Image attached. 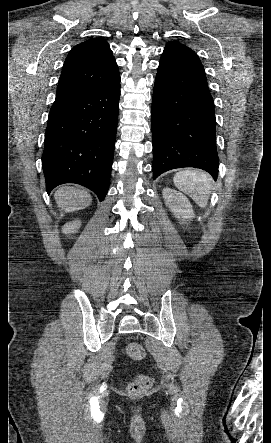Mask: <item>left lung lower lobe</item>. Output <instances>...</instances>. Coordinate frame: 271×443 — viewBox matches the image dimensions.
<instances>
[{
  "label": "left lung lower lobe",
  "instance_id": "1",
  "mask_svg": "<svg viewBox=\"0 0 271 443\" xmlns=\"http://www.w3.org/2000/svg\"><path fill=\"white\" fill-rule=\"evenodd\" d=\"M153 179L175 168L195 167L218 175L214 102L194 51L167 45L152 100Z\"/></svg>",
  "mask_w": 271,
  "mask_h": 443
}]
</instances>
